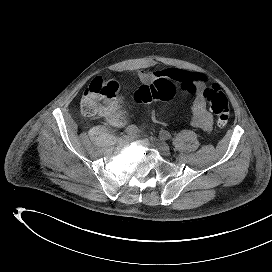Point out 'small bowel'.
<instances>
[{
    "mask_svg": "<svg viewBox=\"0 0 272 272\" xmlns=\"http://www.w3.org/2000/svg\"><path fill=\"white\" fill-rule=\"evenodd\" d=\"M136 76L143 84H149L156 79H167L173 82L183 91L191 93L193 95V99L190 104L191 126L208 134L211 132L213 118L209 111L206 109V101L203 95V91L206 88L207 81L203 76L182 69L138 71ZM107 119L112 125L118 127L125 123V116L122 110L121 99H119L117 102L115 113L107 117ZM152 119L157 123H163V121L154 111L152 112Z\"/></svg>",
    "mask_w": 272,
    "mask_h": 272,
    "instance_id": "small-bowel-1",
    "label": "small bowel"
}]
</instances>
